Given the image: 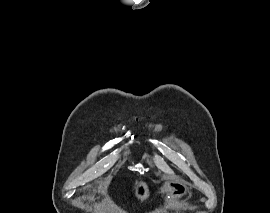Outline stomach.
<instances>
[{"instance_id": "0dacf381", "label": "stomach", "mask_w": 270, "mask_h": 213, "mask_svg": "<svg viewBox=\"0 0 270 213\" xmlns=\"http://www.w3.org/2000/svg\"><path fill=\"white\" fill-rule=\"evenodd\" d=\"M161 192L171 197V199H179L183 197L188 188L186 184L174 180H167L161 186ZM135 196L143 201L149 197L148 185L144 181H140L135 187Z\"/></svg>"}]
</instances>
